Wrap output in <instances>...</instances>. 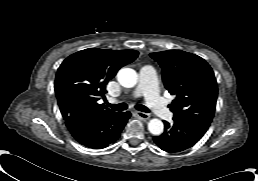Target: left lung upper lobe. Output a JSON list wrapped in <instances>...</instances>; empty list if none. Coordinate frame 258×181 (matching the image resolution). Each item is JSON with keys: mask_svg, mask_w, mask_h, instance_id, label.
I'll return each instance as SVG.
<instances>
[{"mask_svg": "<svg viewBox=\"0 0 258 181\" xmlns=\"http://www.w3.org/2000/svg\"><path fill=\"white\" fill-rule=\"evenodd\" d=\"M162 68L165 88L175 95L168 107L174 118L192 120L209 126L217 100L213 70L201 57L181 50L151 53Z\"/></svg>", "mask_w": 258, "mask_h": 181, "instance_id": "5c2ea615", "label": "left lung upper lobe"}]
</instances>
